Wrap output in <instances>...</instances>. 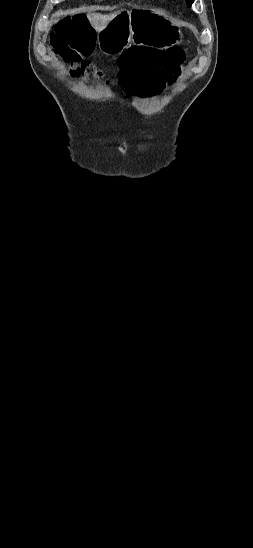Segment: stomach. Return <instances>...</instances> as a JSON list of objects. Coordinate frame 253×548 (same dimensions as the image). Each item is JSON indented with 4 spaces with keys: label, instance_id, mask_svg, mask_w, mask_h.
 Wrapping results in <instances>:
<instances>
[{
    "label": "stomach",
    "instance_id": "obj_1",
    "mask_svg": "<svg viewBox=\"0 0 253 548\" xmlns=\"http://www.w3.org/2000/svg\"><path fill=\"white\" fill-rule=\"evenodd\" d=\"M181 31L168 20L148 11H122L97 34L99 49L106 55L123 52L131 43L174 45Z\"/></svg>",
    "mask_w": 253,
    "mask_h": 548
}]
</instances>
